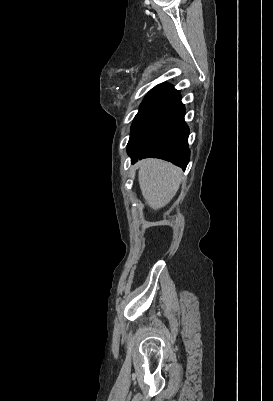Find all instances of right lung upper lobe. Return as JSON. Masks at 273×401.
Segmentation results:
<instances>
[{
	"instance_id": "right-lung-upper-lobe-1",
	"label": "right lung upper lobe",
	"mask_w": 273,
	"mask_h": 401,
	"mask_svg": "<svg viewBox=\"0 0 273 401\" xmlns=\"http://www.w3.org/2000/svg\"><path fill=\"white\" fill-rule=\"evenodd\" d=\"M179 92L174 89L173 86L166 84V83H162L157 85L156 87H154L148 95L150 96H162V97H168V98H173L176 95H178ZM147 95V96H148Z\"/></svg>"
}]
</instances>
